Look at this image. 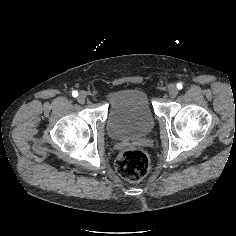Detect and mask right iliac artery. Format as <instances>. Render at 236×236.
<instances>
[{
    "instance_id": "obj_1",
    "label": "right iliac artery",
    "mask_w": 236,
    "mask_h": 236,
    "mask_svg": "<svg viewBox=\"0 0 236 236\" xmlns=\"http://www.w3.org/2000/svg\"><path fill=\"white\" fill-rule=\"evenodd\" d=\"M72 96H73V97H77V96H78V92H77L76 90L73 91V92H72Z\"/></svg>"
}]
</instances>
